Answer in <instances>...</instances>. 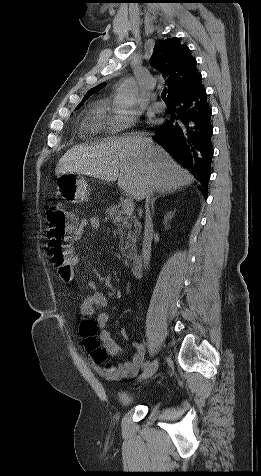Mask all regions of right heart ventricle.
I'll use <instances>...</instances> for the list:
<instances>
[{
    "label": "right heart ventricle",
    "mask_w": 261,
    "mask_h": 476,
    "mask_svg": "<svg viewBox=\"0 0 261 476\" xmlns=\"http://www.w3.org/2000/svg\"><path fill=\"white\" fill-rule=\"evenodd\" d=\"M93 119L90 122V131L92 134H98L104 129L105 122V110L101 105H96L93 108Z\"/></svg>",
    "instance_id": "obj_1"
}]
</instances>
